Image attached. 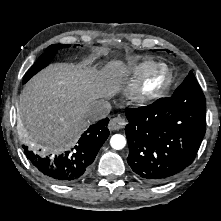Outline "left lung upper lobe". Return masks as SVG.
I'll return each instance as SVG.
<instances>
[{"instance_id":"obj_1","label":"left lung upper lobe","mask_w":221,"mask_h":221,"mask_svg":"<svg viewBox=\"0 0 221 221\" xmlns=\"http://www.w3.org/2000/svg\"><path fill=\"white\" fill-rule=\"evenodd\" d=\"M171 99L179 103L206 104L204 94L192 71L189 72L181 85L177 87Z\"/></svg>"}]
</instances>
